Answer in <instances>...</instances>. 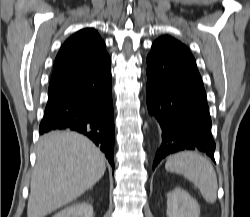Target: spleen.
I'll list each match as a JSON object with an SVG mask.
<instances>
[{
  "instance_id": "3e777b00",
  "label": "spleen",
  "mask_w": 250,
  "mask_h": 217,
  "mask_svg": "<svg viewBox=\"0 0 250 217\" xmlns=\"http://www.w3.org/2000/svg\"><path fill=\"white\" fill-rule=\"evenodd\" d=\"M169 172L182 174L201 192L206 202L213 204L217 200V176L210 161L204 156L185 151L169 156L165 164Z\"/></svg>"
}]
</instances>
